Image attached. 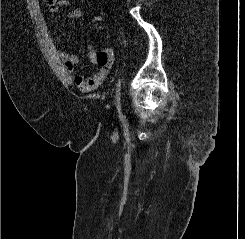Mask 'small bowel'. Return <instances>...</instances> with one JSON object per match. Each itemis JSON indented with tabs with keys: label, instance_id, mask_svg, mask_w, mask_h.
<instances>
[{
	"label": "small bowel",
	"instance_id": "1",
	"mask_svg": "<svg viewBox=\"0 0 245 239\" xmlns=\"http://www.w3.org/2000/svg\"><path fill=\"white\" fill-rule=\"evenodd\" d=\"M53 3H48L49 12L55 14L58 12L59 7H65L69 5V0H54ZM82 15V12L79 8H73L68 17L71 19H78ZM87 56L89 62L98 67L95 74L89 78H86L82 75H74L75 66L77 63V57L74 54L70 53H60L59 58L61 60L63 69L65 72L72 76L74 84L82 92H91L97 89L103 84L107 79L109 70L114 65V52L111 49H107L101 52H97L94 47L87 45Z\"/></svg>",
	"mask_w": 245,
	"mask_h": 239
}]
</instances>
